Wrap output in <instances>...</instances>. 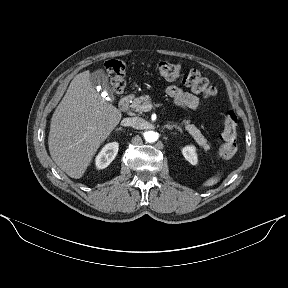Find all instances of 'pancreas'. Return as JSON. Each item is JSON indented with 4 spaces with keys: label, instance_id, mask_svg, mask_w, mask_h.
<instances>
[{
    "label": "pancreas",
    "instance_id": "1",
    "mask_svg": "<svg viewBox=\"0 0 288 288\" xmlns=\"http://www.w3.org/2000/svg\"><path fill=\"white\" fill-rule=\"evenodd\" d=\"M148 104H151L150 96L142 95L132 101L131 108L136 112L142 113L145 112L144 106ZM182 124L185 125L186 130L194 138L199 146H201L205 151L210 149V146L208 145L207 140L204 138L201 131L197 129L194 124H190V120H183Z\"/></svg>",
    "mask_w": 288,
    "mask_h": 288
}]
</instances>
